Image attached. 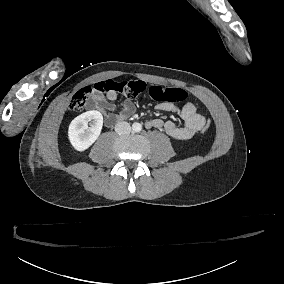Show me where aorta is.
I'll list each match as a JSON object with an SVG mask.
<instances>
[{
  "mask_svg": "<svg viewBox=\"0 0 284 284\" xmlns=\"http://www.w3.org/2000/svg\"><path fill=\"white\" fill-rule=\"evenodd\" d=\"M132 130L134 132H140L142 130V125L136 122L132 125Z\"/></svg>",
  "mask_w": 284,
  "mask_h": 284,
  "instance_id": "762f6f07",
  "label": "aorta"
}]
</instances>
